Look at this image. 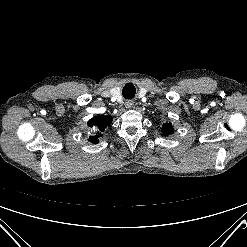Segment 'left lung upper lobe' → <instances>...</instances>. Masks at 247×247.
<instances>
[{
    "label": "left lung upper lobe",
    "instance_id": "5c2ea615",
    "mask_svg": "<svg viewBox=\"0 0 247 247\" xmlns=\"http://www.w3.org/2000/svg\"><path fill=\"white\" fill-rule=\"evenodd\" d=\"M161 131L163 132V135L168 136L173 133L174 128L171 123H165L163 124Z\"/></svg>",
    "mask_w": 247,
    "mask_h": 247
}]
</instances>
